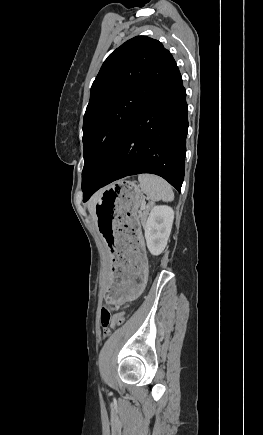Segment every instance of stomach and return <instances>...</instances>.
Segmentation results:
<instances>
[{
  "mask_svg": "<svg viewBox=\"0 0 263 435\" xmlns=\"http://www.w3.org/2000/svg\"><path fill=\"white\" fill-rule=\"evenodd\" d=\"M142 192L135 181L118 180L102 190L95 203L98 233H103L111 262L109 305H133L150 282L144 260L145 234L138 209Z\"/></svg>",
  "mask_w": 263,
  "mask_h": 435,
  "instance_id": "stomach-1",
  "label": "stomach"
}]
</instances>
